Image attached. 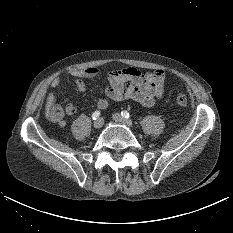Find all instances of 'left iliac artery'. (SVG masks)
<instances>
[{
  "instance_id": "obj_1",
  "label": "left iliac artery",
  "mask_w": 233,
  "mask_h": 233,
  "mask_svg": "<svg viewBox=\"0 0 233 233\" xmlns=\"http://www.w3.org/2000/svg\"><path fill=\"white\" fill-rule=\"evenodd\" d=\"M121 115L126 119H128L130 117V114L125 110L121 112Z\"/></svg>"
}]
</instances>
